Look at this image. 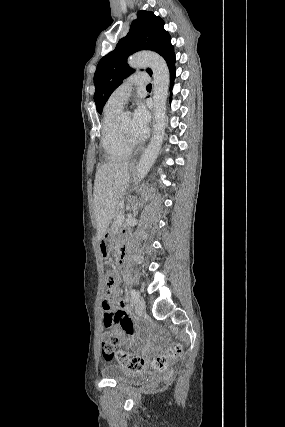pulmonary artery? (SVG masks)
Masks as SVG:
<instances>
[{
    "label": "pulmonary artery",
    "mask_w": 285,
    "mask_h": 427,
    "mask_svg": "<svg viewBox=\"0 0 285 427\" xmlns=\"http://www.w3.org/2000/svg\"><path fill=\"white\" fill-rule=\"evenodd\" d=\"M149 81L148 74L130 76L122 85L113 91L108 102L112 105L123 107L132 94L133 86H145Z\"/></svg>",
    "instance_id": "obj_1"
}]
</instances>
